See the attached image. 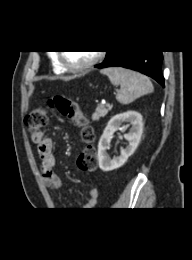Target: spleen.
<instances>
[{
  "label": "spleen",
  "instance_id": "spleen-1",
  "mask_svg": "<svg viewBox=\"0 0 192 260\" xmlns=\"http://www.w3.org/2000/svg\"><path fill=\"white\" fill-rule=\"evenodd\" d=\"M101 73L107 75L113 85H120L116 99L121 104H129L154 90L150 79L135 71L110 67L101 70Z\"/></svg>",
  "mask_w": 192,
  "mask_h": 260
}]
</instances>
